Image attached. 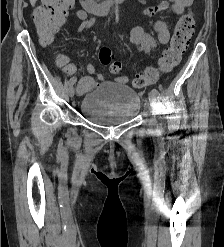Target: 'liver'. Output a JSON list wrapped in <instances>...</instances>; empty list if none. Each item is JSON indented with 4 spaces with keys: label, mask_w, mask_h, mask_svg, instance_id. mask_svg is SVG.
<instances>
[{
    "label": "liver",
    "mask_w": 224,
    "mask_h": 247,
    "mask_svg": "<svg viewBox=\"0 0 224 247\" xmlns=\"http://www.w3.org/2000/svg\"><path fill=\"white\" fill-rule=\"evenodd\" d=\"M36 2H37V0H30L31 6H35Z\"/></svg>",
    "instance_id": "liver-1"
}]
</instances>
